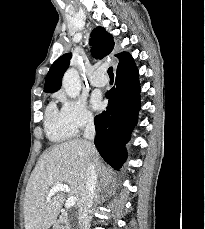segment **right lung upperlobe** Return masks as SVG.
<instances>
[{
    "label": "right lung upper lobe",
    "mask_w": 205,
    "mask_h": 229,
    "mask_svg": "<svg viewBox=\"0 0 205 229\" xmlns=\"http://www.w3.org/2000/svg\"><path fill=\"white\" fill-rule=\"evenodd\" d=\"M90 45L93 56L102 59L112 52L114 48L113 37L104 28L97 27L91 33ZM115 56L119 58L118 67L128 64L132 60L128 53H119ZM70 59L71 53L63 54L52 64L46 77L44 92L53 93L60 89L61 80L69 66Z\"/></svg>",
    "instance_id": "cb5924a9"
}]
</instances>
